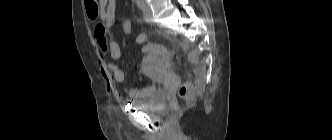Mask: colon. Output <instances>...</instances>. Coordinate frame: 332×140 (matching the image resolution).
<instances>
[{
    "instance_id": "5ec220e1",
    "label": "colon",
    "mask_w": 332,
    "mask_h": 140,
    "mask_svg": "<svg viewBox=\"0 0 332 140\" xmlns=\"http://www.w3.org/2000/svg\"><path fill=\"white\" fill-rule=\"evenodd\" d=\"M85 5L88 13L91 16H96L98 14V5L96 0H85ZM120 31L128 35L132 31V22L130 20H124L120 24ZM189 93V85L184 83L179 87L178 94L181 98H187Z\"/></svg>"
}]
</instances>
